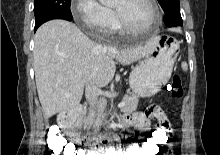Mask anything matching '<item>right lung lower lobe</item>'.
<instances>
[{
    "label": "right lung lower lobe",
    "instance_id": "right-lung-lower-lobe-1",
    "mask_svg": "<svg viewBox=\"0 0 220 155\" xmlns=\"http://www.w3.org/2000/svg\"><path fill=\"white\" fill-rule=\"evenodd\" d=\"M52 19H65V20L71 21L73 18L65 17V16H56V17H52V18H50V19H48V20H46V21H49V20H52ZM46 21H44V22H46ZM44 22L39 23V24H36L34 30H37V28H38L41 24H43Z\"/></svg>",
    "mask_w": 220,
    "mask_h": 155
}]
</instances>
